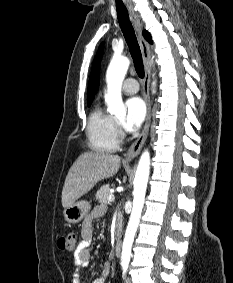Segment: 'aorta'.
Instances as JSON below:
<instances>
[{"instance_id":"1","label":"aorta","mask_w":233,"mask_h":283,"mask_svg":"<svg viewBox=\"0 0 233 283\" xmlns=\"http://www.w3.org/2000/svg\"><path fill=\"white\" fill-rule=\"evenodd\" d=\"M130 60L127 57H114L107 69V93L105 94V102L108 111L114 115H125L126 108L122 101L121 87L124 77L127 73ZM155 83H153L154 85ZM150 173V153L145 150L138 162L133 191V208L129 218L128 226L122 246L121 264L128 265L131 257V248L134 236L140 221L142 209L145 201L146 188Z\"/></svg>"}]
</instances>
